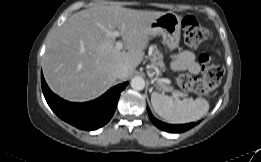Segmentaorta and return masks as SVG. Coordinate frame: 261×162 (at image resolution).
<instances>
[{
    "label": "aorta",
    "instance_id": "762f6f07",
    "mask_svg": "<svg viewBox=\"0 0 261 162\" xmlns=\"http://www.w3.org/2000/svg\"><path fill=\"white\" fill-rule=\"evenodd\" d=\"M130 85L134 90H143L145 87V80L140 76H135L132 78Z\"/></svg>",
    "mask_w": 261,
    "mask_h": 162
}]
</instances>
